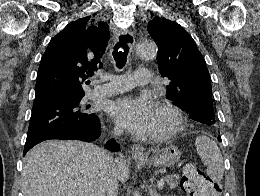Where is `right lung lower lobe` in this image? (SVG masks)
<instances>
[{"mask_svg":"<svg viewBox=\"0 0 260 196\" xmlns=\"http://www.w3.org/2000/svg\"><path fill=\"white\" fill-rule=\"evenodd\" d=\"M100 121L98 117L92 123L87 125L78 127L73 130L60 132L54 135L46 136L41 139H38L32 143L25 144L23 156L36 144L50 139H60V140H81L86 142H92L96 140L100 136ZM106 148L112 152H117L119 150V145L116 143L115 140H109L106 143Z\"/></svg>","mask_w":260,"mask_h":196,"instance_id":"obj_1","label":"right lung lower lobe"}]
</instances>
